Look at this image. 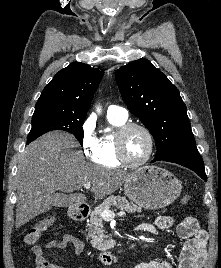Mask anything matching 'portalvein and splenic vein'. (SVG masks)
<instances>
[{
  "label": "portal vein and splenic vein",
  "instance_id": "obj_1",
  "mask_svg": "<svg viewBox=\"0 0 221 268\" xmlns=\"http://www.w3.org/2000/svg\"><path fill=\"white\" fill-rule=\"evenodd\" d=\"M91 187V184L90 183H85L84 184V188L85 189H90ZM115 215H118V216H125L126 213L125 211L121 210L119 211L118 213H114L113 211L109 210V209H104L102 212H101V217L105 220H111V219H114L115 218Z\"/></svg>",
  "mask_w": 221,
  "mask_h": 268
}]
</instances>
